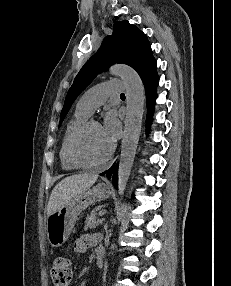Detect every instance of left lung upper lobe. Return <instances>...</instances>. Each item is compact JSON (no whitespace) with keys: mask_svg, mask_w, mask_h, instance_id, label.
<instances>
[{"mask_svg":"<svg viewBox=\"0 0 231 286\" xmlns=\"http://www.w3.org/2000/svg\"><path fill=\"white\" fill-rule=\"evenodd\" d=\"M152 60L154 57L146 35L127 20L116 22L113 34L104 39L97 53L84 64L75 77L61 111L59 126L76 97L98 73L106 71L116 62L127 64L139 73Z\"/></svg>","mask_w":231,"mask_h":286,"instance_id":"1","label":"left lung upper lobe"}]
</instances>
